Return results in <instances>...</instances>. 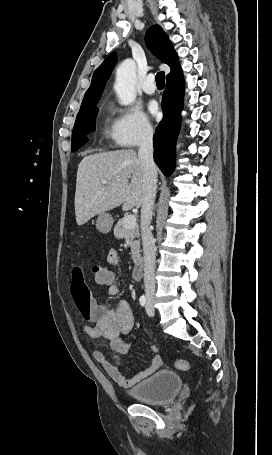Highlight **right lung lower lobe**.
<instances>
[{"label":"right lung lower lobe","mask_w":272,"mask_h":455,"mask_svg":"<svg viewBox=\"0 0 272 455\" xmlns=\"http://www.w3.org/2000/svg\"><path fill=\"white\" fill-rule=\"evenodd\" d=\"M183 94L182 73L167 79L162 98L164 117L153 137L154 160L165 176L171 175L175 168V143L180 130Z\"/></svg>","instance_id":"98d812e1"}]
</instances>
